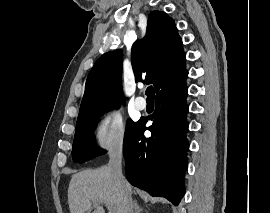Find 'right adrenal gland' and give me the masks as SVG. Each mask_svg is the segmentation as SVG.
I'll list each match as a JSON object with an SVG mask.
<instances>
[{"instance_id": "2a0ac1e0", "label": "right adrenal gland", "mask_w": 270, "mask_h": 213, "mask_svg": "<svg viewBox=\"0 0 270 213\" xmlns=\"http://www.w3.org/2000/svg\"><path fill=\"white\" fill-rule=\"evenodd\" d=\"M133 209H134L133 213H141L143 210L142 208L139 207L136 200H134V202H133Z\"/></svg>"}]
</instances>
